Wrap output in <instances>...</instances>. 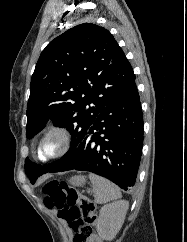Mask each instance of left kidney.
I'll use <instances>...</instances> for the list:
<instances>
[{
	"label": "left kidney",
	"instance_id": "obj_1",
	"mask_svg": "<svg viewBox=\"0 0 187 242\" xmlns=\"http://www.w3.org/2000/svg\"><path fill=\"white\" fill-rule=\"evenodd\" d=\"M128 207L129 203L121 200L101 208L97 232L103 240L111 241L115 238L124 223Z\"/></svg>",
	"mask_w": 187,
	"mask_h": 242
}]
</instances>
